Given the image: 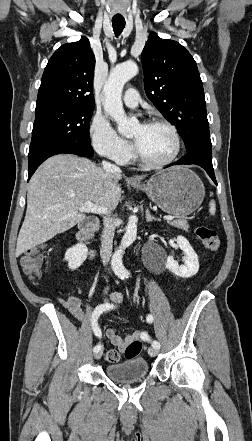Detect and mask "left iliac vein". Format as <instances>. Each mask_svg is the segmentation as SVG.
<instances>
[{"mask_svg": "<svg viewBox=\"0 0 252 441\" xmlns=\"http://www.w3.org/2000/svg\"><path fill=\"white\" fill-rule=\"evenodd\" d=\"M148 353L152 357L157 356L158 355V349H156L154 347L153 348H149Z\"/></svg>", "mask_w": 252, "mask_h": 441, "instance_id": "obj_1", "label": "left iliac vein"}]
</instances>
